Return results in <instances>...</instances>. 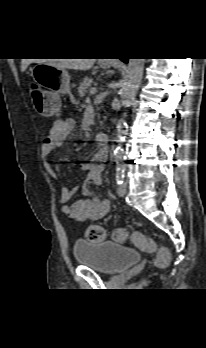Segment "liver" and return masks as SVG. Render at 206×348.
Listing matches in <instances>:
<instances>
[{
    "instance_id": "obj_1",
    "label": "liver",
    "mask_w": 206,
    "mask_h": 348,
    "mask_svg": "<svg viewBox=\"0 0 206 348\" xmlns=\"http://www.w3.org/2000/svg\"><path fill=\"white\" fill-rule=\"evenodd\" d=\"M46 63L61 69H73L86 71L92 68L96 59H52L49 61H41L34 59H23L21 63V71L24 72L32 62Z\"/></svg>"
}]
</instances>
